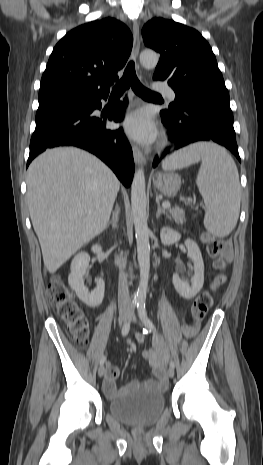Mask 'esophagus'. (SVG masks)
Returning a JSON list of instances; mask_svg holds the SVG:
<instances>
[{
	"label": "esophagus",
	"instance_id": "34e87169",
	"mask_svg": "<svg viewBox=\"0 0 263 465\" xmlns=\"http://www.w3.org/2000/svg\"><path fill=\"white\" fill-rule=\"evenodd\" d=\"M133 50H132V56L134 59L138 57L139 50H140V35H139V25L137 22L133 23ZM132 151H133V156H134V161L137 165H145L146 159L141 152V150L136 146H132Z\"/></svg>",
	"mask_w": 263,
	"mask_h": 465
}]
</instances>
